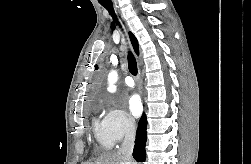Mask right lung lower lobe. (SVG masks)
Wrapping results in <instances>:
<instances>
[{"mask_svg": "<svg viewBox=\"0 0 251 164\" xmlns=\"http://www.w3.org/2000/svg\"><path fill=\"white\" fill-rule=\"evenodd\" d=\"M146 126H147V119H146V115L144 114L141 117L138 124L135 146H134V151H133V157L137 162L145 161V157H146L145 144L147 140Z\"/></svg>", "mask_w": 251, "mask_h": 164, "instance_id": "obj_1", "label": "right lung lower lobe"}]
</instances>
